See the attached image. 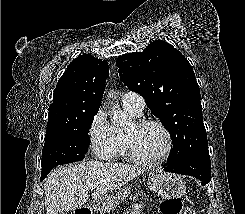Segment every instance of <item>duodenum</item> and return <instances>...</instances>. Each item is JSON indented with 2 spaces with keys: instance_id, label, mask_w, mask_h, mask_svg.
I'll return each mask as SVG.
<instances>
[{
  "instance_id": "obj_1",
  "label": "duodenum",
  "mask_w": 245,
  "mask_h": 214,
  "mask_svg": "<svg viewBox=\"0 0 245 214\" xmlns=\"http://www.w3.org/2000/svg\"><path fill=\"white\" fill-rule=\"evenodd\" d=\"M104 204H105L104 200H96V201L94 202V205H95V208H96V209H103V208H104ZM78 214H85V213H84V210L81 209L80 212H79Z\"/></svg>"
}]
</instances>
